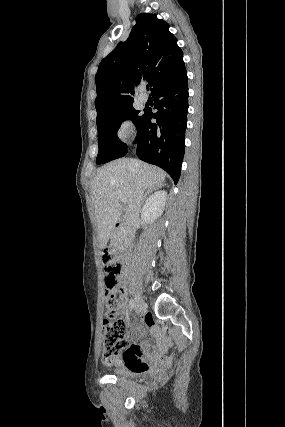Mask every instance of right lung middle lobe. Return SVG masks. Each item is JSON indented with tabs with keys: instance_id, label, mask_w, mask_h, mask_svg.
Listing matches in <instances>:
<instances>
[{
	"instance_id": "right-lung-middle-lobe-1",
	"label": "right lung middle lobe",
	"mask_w": 285,
	"mask_h": 427,
	"mask_svg": "<svg viewBox=\"0 0 285 427\" xmlns=\"http://www.w3.org/2000/svg\"><path fill=\"white\" fill-rule=\"evenodd\" d=\"M143 118L144 115L140 116L139 111L135 110L131 105L98 123L99 152L96 163L103 164L124 156L127 153V145L122 143L117 137V130L124 120L130 119L136 125L139 133Z\"/></svg>"
}]
</instances>
